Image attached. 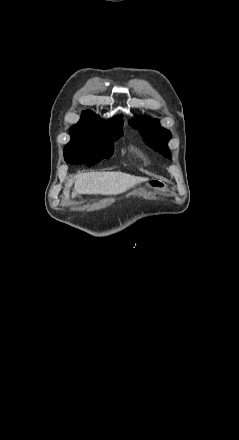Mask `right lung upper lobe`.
I'll use <instances>...</instances> for the list:
<instances>
[{
  "label": "right lung upper lobe",
  "instance_id": "1",
  "mask_svg": "<svg viewBox=\"0 0 239 440\" xmlns=\"http://www.w3.org/2000/svg\"><path fill=\"white\" fill-rule=\"evenodd\" d=\"M81 122H98V123H104L112 126L122 127L123 126V120L121 117H114L109 121V123L104 122L100 117L96 116V114L93 111L87 110L83 111L81 119Z\"/></svg>",
  "mask_w": 239,
  "mask_h": 440
}]
</instances>
